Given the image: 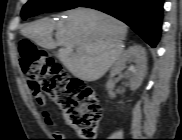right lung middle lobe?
I'll return each instance as SVG.
<instances>
[{"label":"right lung middle lobe","mask_w":182,"mask_h":140,"mask_svg":"<svg viewBox=\"0 0 182 140\" xmlns=\"http://www.w3.org/2000/svg\"><path fill=\"white\" fill-rule=\"evenodd\" d=\"M86 0H29L22 8L21 16L26 19L41 13L69 10L79 7Z\"/></svg>","instance_id":"1"}]
</instances>
